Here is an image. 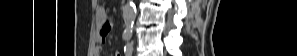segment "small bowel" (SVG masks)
<instances>
[{
  "instance_id": "small-bowel-1",
  "label": "small bowel",
  "mask_w": 297,
  "mask_h": 56,
  "mask_svg": "<svg viewBox=\"0 0 297 56\" xmlns=\"http://www.w3.org/2000/svg\"><path fill=\"white\" fill-rule=\"evenodd\" d=\"M99 19H100L99 41L95 50L97 56L100 55L101 45L105 43L106 38L112 28V22L107 17L105 9L103 7L99 9ZM117 56H119V54H117Z\"/></svg>"
}]
</instances>
